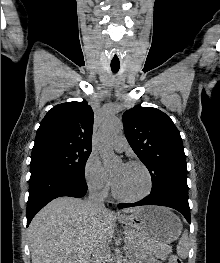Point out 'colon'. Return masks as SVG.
I'll list each match as a JSON object with an SVG mask.
<instances>
[{
	"label": "colon",
	"instance_id": "1",
	"mask_svg": "<svg viewBox=\"0 0 220 263\" xmlns=\"http://www.w3.org/2000/svg\"><path fill=\"white\" fill-rule=\"evenodd\" d=\"M170 263H183L181 258H179L177 255H172L170 257Z\"/></svg>",
	"mask_w": 220,
	"mask_h": 263
}]
</instances>
